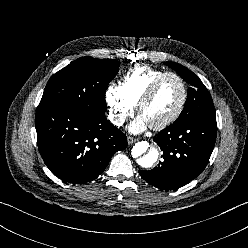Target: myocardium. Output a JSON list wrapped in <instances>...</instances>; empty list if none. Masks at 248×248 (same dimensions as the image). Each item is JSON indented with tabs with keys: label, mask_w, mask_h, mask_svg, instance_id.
I'll list each match as a JSON object with an SVG mask.
<instances>
[{
	"label": "myocardium",
	"mask_w": 248,
	"mask_h": 248,
	"mask_svg": "<svg viewBox=\"0 0 248 248\" xmlns=\"http://www.w3.org/2000/svg\"><path fill=\"white\" fill-rule=\"evenodd\" d=\"M167 77H174L176 78L180 85H181V89H182V96H181V101L179 106L177 107V109L167 118L163 119L162 121L155 123V124H151L150 127L153 130H161L164 129L165 127L169 126L170 124H172L173 122H175L179 116L182 114L186 102H187V97H188V91H187V86L185 81L183 80V78L178 75L177 73L174 72H165L161 75H159L158 77H156L151 84L149 85V87L147 88V90L145 91V93L142 95L141 99L138 102V111L141 114L143 108L146 106V104L153 98L154 94L156 93V90L158 89L160 83Z\"/></svg>",
	"instance_id": "obj_1"
}]
</instances>
